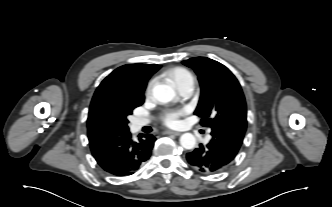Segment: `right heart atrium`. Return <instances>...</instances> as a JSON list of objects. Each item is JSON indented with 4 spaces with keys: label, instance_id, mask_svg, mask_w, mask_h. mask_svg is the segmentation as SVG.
Returning <instances> with one entry per match:
<instances>
[{
    "label": "right heart atrium",
    "instance_id": "1",
    "mask_svg": "<svg viewBox=\"0 0 332 207\" xmlns=\"http://www.w3.org/2000/svg\"><path fill=\"white\" fill-rule=\"evenodd\" d=\"M152 85H153V82L150 81L148 84H147V87H146V93H150L151 89H152Z\"/></svg>",
    "mask_w": 332,
    "mask_h": 207
}]
</instances>
